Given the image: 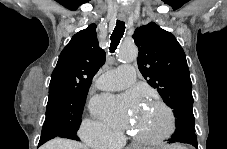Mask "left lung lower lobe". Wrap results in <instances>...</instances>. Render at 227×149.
Listing matches in <instances>:
<instances>
[{
  "label": "left lung lower lobe",
  "instance_id": "0a47b994",
  "mask_svg": "<svg viewBox=\"0 0 227 149\" xmlns=\"http://www.w3.org/2000/svg\"><path fill=\"white\" fill-rule=\"evenodd\" d=\"M169 143H187L191 144L192 146H195L198 149V142H197V136L195 132H188V133H175L171 136V138L168 140Z\"/></svg>",
  "mask_w": 227,
  "mask_h": 149
}]
</instances>
